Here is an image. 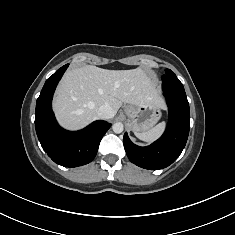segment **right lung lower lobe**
<instances>
[{"label":"right lung lower lobe","instance_id":"right-lung-lower-lobe-1","mask_svg":"<svg viewBox=\"0 0 235 235\" xmlns=\"http://www.w3.org/2000/svg\"><path fill=\"white\" fill-rule=\"evenodd\" d=\"M68 65L58 69L44 84L36 103L35 128L42 148L55 163L64 167H78L95 158L100 141L111 124L97 120L75 132L66 131L58 125L51 102Z\"/></svg>","mask_w":235,"mask_h":235}]
</instances>
